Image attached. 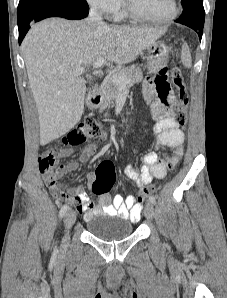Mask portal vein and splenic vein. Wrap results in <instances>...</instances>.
I'll return each instance as SVG.
<instances>
[{
  "mask_svg": "<svg viewBox=\"0 0 227 298\" xmlns=\"http://www.w3.org/2000/svg\"><path fill=\"white\" fill-rule=\"evenodd\" d=\"M104 63H105V58H100L93 63V68L98 69ZM86 71L87 70L85 68H80L74 72V75L80 76L83 73H85ZM110 78L114 83L122 85V86H124L125 84H127L129 82V79H127L124 75L119 74V73H113Z\"/></svg>",
  "mask_w": 227,
  "mask_h": 298,
  "instance_id": "portal-vein-and-splenic-vein-1",
  "label": "portal vein and splenic vein"
}]
</instances>
